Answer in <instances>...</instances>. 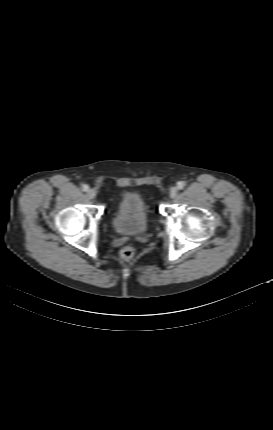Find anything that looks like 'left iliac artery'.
Here are the masks:
<instances>
[{"label": "left iliac artery", "mask_w": 273, "mask_h": 430, "mask_svg": "<svg viewBox=\"0 0 273 430\" xmlns=\"http://www.w3.org/2000/svg\"><path fill=\"white\" fill-rule=\"evenodd\" d=\"M185 185H186L185 181H180V182L177 183V188L179 190H181V189H183L185 187Z\"/></svg>", "instance_id": "obj_1"}]
</instances>
